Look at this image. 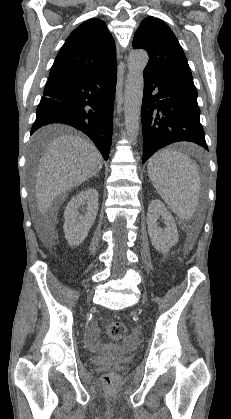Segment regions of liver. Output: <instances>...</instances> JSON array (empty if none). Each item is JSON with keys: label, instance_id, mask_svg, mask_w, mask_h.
Listing matches in <instances>:
<instances>
[{"label": "liver", "instance_id": "6515ba94", "mask_svg": "<svg viewBox=\"0 0 231 419\" xmlns=\"http://www.w3.org/2000/svg\"><path fill=\"white\" fill-rule=\"evenodd\" d=\"M47 133L48 128L37 131L33 146L34 141L41 143ZM102 165V155L89 140L75 135L55 138L41 157L36 174L35 196L39 213L44 216L58 196L96 175ZM40 233L42 239L52 241L53 228L41 229Z\"/></svg>", "mask_w": 231, "mask_h": 419}]
</instances>
